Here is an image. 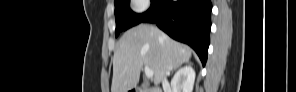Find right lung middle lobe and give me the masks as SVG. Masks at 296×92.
<instances>
[{
  "label": "right lung middle lobe",
  "mask_w": 296,
  "mask_h": 92,
  "mask_svg": "<svg viewBox=\"0 0 296 92\" xmlns=\"http://www.w3.org/2000/svg\"><path fill=\"white\" fill-rule=\"evenodd\" d=\"M159 0H151L150 9L143 14H136L130 9V0H115V18L117 37L121 31H125L132 26L139 24L145 16L155 7Z\"/></svg>",
  "instance_id": "1"
}]
</instances>
